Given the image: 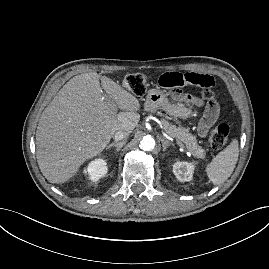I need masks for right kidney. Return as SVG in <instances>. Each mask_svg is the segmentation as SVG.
I'll return each instance as SVG.
<instances>
[{
    "instance_id": "ca27d5eb",
    "label": "right kidney",
    "mask_w": 269,
    "mask_h": 269,
    "mask_svg": "<svg viewBox=\"0 0 269 269\" xmlns=\"http://www.w3.org/2000/svg\"><path fill=\"white\" fill-rule=\"evenodd\" d=\"M107 161L104 159H95L91 161L88 167L84 170L88 180L97 182L100 178L104 177L107 173Z\"/></svg>"
}]
</instances>
